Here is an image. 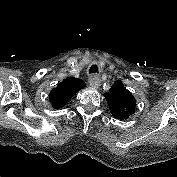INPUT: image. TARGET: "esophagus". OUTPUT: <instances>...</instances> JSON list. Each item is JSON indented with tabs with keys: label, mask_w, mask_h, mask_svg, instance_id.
<instances>
[{
	"label": "esophagus",
	"mask_w": 177,
	"mask_h": 177,
	"mask_svg": "<svg viewBox=\"0 0 177 177\" xmlns=\"http://www.w3.org/2000/svg\"><path fill=\"white\" fill-rule=\"evenodd\" d=\"M88 82H89L90 86L93 88H98L100 86V78L96 74H92L89 77Z\"/></svg>",
	"instance_id": "obj_1"
}]
</instances>
